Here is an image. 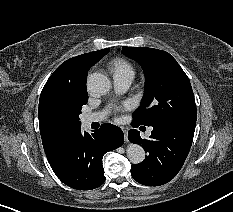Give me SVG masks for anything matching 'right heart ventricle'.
I'll return each instance as SVG.
<instances>
[{"instance_id": "1", "label": "right heart ventricle", "mask_w": 233, "mask_h": 212, "mask_svg": "<svg viewBox=\"0 0 233 212\" xmlns=\"http://www.w3.org/2000/svg\"><path fill=\"white\" fill-rule=\"evenodd\" d=\"M111 71L114 76L117 75H130L134 76V68L130 62L123 58H116L110 64Z\"/></svg>"}]
</instances>
